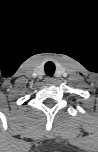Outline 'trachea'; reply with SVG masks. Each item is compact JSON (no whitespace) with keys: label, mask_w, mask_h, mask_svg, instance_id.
<instances>
[{"label":"trachea","mask_w":98,"mask_h":152,"mask_svg":"<svg viewBox=\"0 0 98 152\" xmlns=\"http://www.w3.org/2000/svg\"><path fill=\"white\" fill-rule=\"evenodd\" d=\"M46 75L53 76L55 72V64L53 62H47L44 66Z\"/></svg>","instance_id":"1"}]
</instances>
